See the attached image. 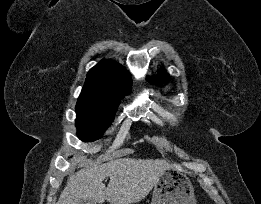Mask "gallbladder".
Returning <instances> with one entry per match:
<instances>
[{
  "label": "gallbladder",
  "mask_w": 261,
  "mask_h": 204,
  "mask_svg": "<svg viewBox=\"0 0 261 204\" xmlns=\"http://www.w3.org/2000/svg\"><path fill=\"white\" fill-rule=\"evenodd\" d=\"M79 204H97V202L93 199H82Z\"/></svg>",
  "instance_id": "obj_1"
}]
</instances>
